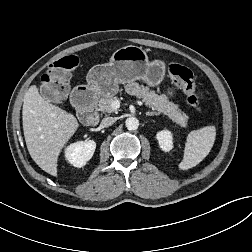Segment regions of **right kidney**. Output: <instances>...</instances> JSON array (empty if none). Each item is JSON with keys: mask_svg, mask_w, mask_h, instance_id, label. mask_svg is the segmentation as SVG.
Returning <instances> with one entry per match:
<instances>
[{"mask_svg": "<svg viewBox=\"0 0 252 252\" xmlns=\"http://www.w3.org/2000/svg\"><path fill=\"white\" fill-rule=\"evenodd\" d=\"M96 143L93 140L79 141L65 149V158L74 167H83L93 156Z\"/></svg>", "mask_w": 252, "mask_h": 252, "instance_id": "obj_1", "label": "right kidney"}]
</instances>
